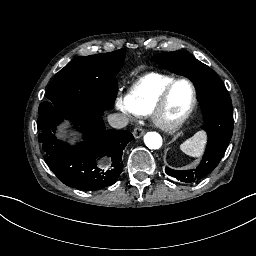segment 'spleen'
<instances>
[{
    "label": "spleen",
    "mask_w": 256,
    "mask_h": 256,
    "mask_svg": "<svg viewBox=\"0 0 256 256\" xmlns=\"http://www.w3.org/2000/svg\"><path fill=\"white\" fill-rule=\"evenodd\" d=\"M206 142V132L198 131L180 145V150L188 156L200 158L204 153Z\"/></svg>",
    "instance_id": "spleen-1"
}]
</instances>
